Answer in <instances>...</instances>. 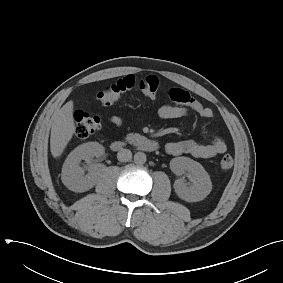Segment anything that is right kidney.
Wrapping results in <instances>:
<instances>
[{"mask_svg":"<svg viewBox=\"0 0 283 283\" xmlns=\"http://www.w3.org/2000/svg\"><path fill=\"white\" fill-rule=\"evenodd\" d=\"M105 149L97 142H88L75 148L65 160L62 168V182L71 191L85 192L91 189L99 174V168L94 166L87 175H84V169L80 167L81 160L87 163L94 157H100Z\"/></svg>","mask_w":283,"mask_h":283,"instance_id":"1","label":"right kidney"}]
</instances>
